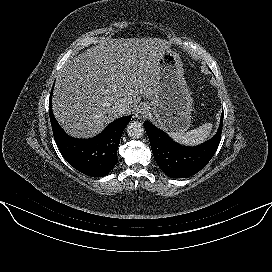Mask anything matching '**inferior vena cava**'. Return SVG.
I'll list each match as a JSON object with an SVG mask.
<instances>
[{"label": "inferior vena cava", "mask_w": 272, "mask_h": 272, "mask_svg": "<svg viewBox=\"0 0 272 272\" xmlns=\"http://www.w3.org/2000/svg\"><path fill=\"white\" fill-rule=\"evenodd\" d=\"M128 109V106L126 104L120 103L115 106V110L119 115L125 114Z\"/></svg>", "instance_id": "602c4592"}]
</instances>
